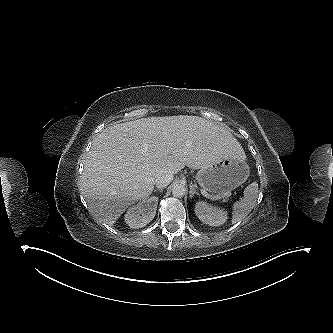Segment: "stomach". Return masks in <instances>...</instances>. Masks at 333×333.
Listing matches in <instances>:
<instances>
[{"instance_id": "1", "label": "stomach", "mask_w": 333, "mask_h": 333, "mask_svg": "<svg viewBox=\"0 0 333 333\" xmlns=\"http://www.w3.org/2000/svg\"><path fill=\"white\" fill-rule=\"evenodd\" d=\"M249 174L245 159L229 158L200 169L196 180L207 191L221 193L239 187L248 179Z\"/></svg>"}]
</instances>
